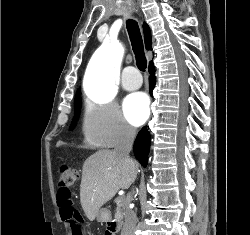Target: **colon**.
Segmentation results:
<instances>
[{
	"instance_id": "obj_1",
	"label": "colon",
	"mask_w": 250,
	"mask_h": 235,
	"mask_svg": "<svg viewBox=\"0 0 250 235\" xmlns=\"http://www.w3.org/2000/svg\"><path fill=\"white\" fill-rule=\"evenodd\" d=\"M59 184L57 202L61 209V216L69 226L73 235H84L83 220L79 211L73 206L70 189L78 179L79 174L73 167L63 164L58 169Z\"/></svg>"
}]
</instances>
